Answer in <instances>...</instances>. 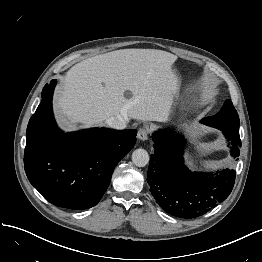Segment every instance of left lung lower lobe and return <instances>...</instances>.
I'll list each match as a JSON object with an SVG mask.
<instances>
[{"instance_id":"1","label":"left lung lower lobe","mask_w":262,"mask_h":262,"mask_svg":"<svg viewBox=\"0 0 262 262\" xmlns=\"http://www.w3.org/2000/svg\"><path fill=\"white\" fill-rule=\"evenodd\" d=\"M220 130L233 141L230 152L237 159L241 147L239 130ZM153 141L155 150L150 156L147 182L156 203L165 212L180 218H196L229 196L234 186L235 170L192 172L185 165L184 140L179 134L156 131Z\"/></svg>"}]
</instances>
